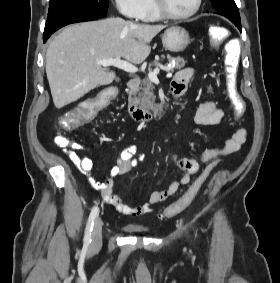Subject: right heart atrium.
<instances>
[{
	"label": "right heart atrium",
	"instance_id": "d8ad5b80",
	"mask_svg": "<svg viewBox=\"0 0 280 283\" xmlns=\"http://www.w3.org/2000/svg\"><path fill=\"white\" fill-rule=\"evenodd\" d=\"M119 12L128 19H142L147 7V0H115Z\"/></svg>",
	"mask_w": 280,
	"mask_h": 283
}]
</instances>
